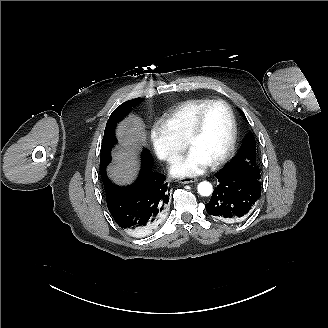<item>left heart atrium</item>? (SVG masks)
<instances>
[{"label": "left heart atrium", "mask_w": 328, "mask_h": 328, "mask_svg": "<svg viewBox=\"0 0 328 328\" xmlns=\"http://www.w3.org/2000/svg\"><path fill=\"white\" fill-rule=\"evenodd\" d=\"M210 164L204 155L197 150L189 149L170 164L169 170L174 176H194L202 174Z\"/></svg>", "instance_id": "1"}]
</instances>
